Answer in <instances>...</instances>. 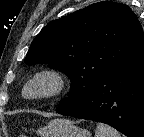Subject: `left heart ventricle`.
Masks as SVG:
<instances>
[{"label": "left heart ventricle", "mask_w": 144, "mask_h": 137, "mask_svg": "<svg viewBox=\"0 0 144 137\" xmlns=\"http://www.w3.org/2000/svg\"><path fill=\"white\" fill-rule=\"evenodd\" d=\"M49 83L46 81H39L35 83L30 89V93H41L49 89Z\"/></svg>", "instance_id": "1"}]
</instances>
